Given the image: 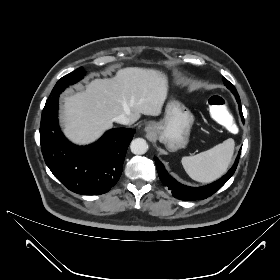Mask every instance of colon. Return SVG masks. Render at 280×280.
Wrapping results in <instances>:
<instances>
[{"label":"colon","mask_w":280,"mask_h":280,"mask_svg":"<svg viewBox=\"0 0 280 280\" xmlns=\"http://www.w3.org/2000/svg\"><path fill=\"white\" fill-rule=\"evenodd\" d=\"M211 117L219 124L223 125L226 131L234 135L238 132L239 126L232 117L227 101L221 95H212L207 100Z\"/></svg>","instance_id":"1"}]
</instances>
